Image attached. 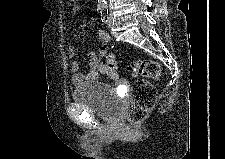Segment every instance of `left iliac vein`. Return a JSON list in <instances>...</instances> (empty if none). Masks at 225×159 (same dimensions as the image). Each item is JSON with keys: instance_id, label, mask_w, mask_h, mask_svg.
Segmentation results:
<instances>
[{"instance_id": "1", "label": "left iliac vein", "mask_w": 225, "mask_h": 159, "mask_svg": "<svg viewBox=\"0 0 225 159\" xmlns=\"http://www.w3.org/2000/svg\"><path fill=\"white\" fill-rule=\"evenodd\" d=\"M106 24L108 27H111L112 26V18L109 17L106 21Z\"/></svg>"}]
</instances>
